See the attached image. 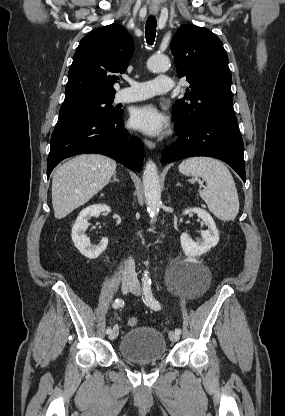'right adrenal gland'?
Masks as SVG:
<instances>
[{
  "mask_svg": "<svg viewBox=\"0 0 285 416\" xmlns=\"http://www.w3.org/2000/svg\"><path fill=\"white\" fill-rule=\"evenodd\" d=\"M111 182H112V184H113V182H120V180H117L116 174H114L113 180H111Z\"/></svg>",
  "mask_w": 285,
  "mask_h": 416,
  "instance_id": "1",
  "label": "right adrenal gland"
}]
</instances>
